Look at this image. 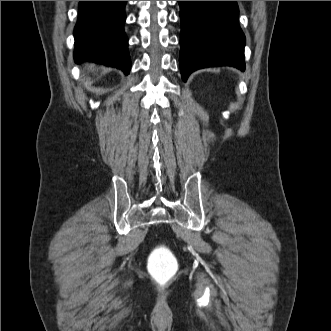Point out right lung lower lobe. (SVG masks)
<instances>
[{
  "instance_id": "obj_1",
  "label": "right lung lower lobe",
  "mask_w": 331,
  "mask_h": 331,
  "mask_svg": "<svg viewBox=\"0 0 331 331\" xmlns=\"http://www.w3.org/2000/svg\"><path fill=\"white\" fill-rule=\"evenodd\" d=\"M126 2L79 1L74 29V59L77 63L88 59L129 74L131 62L123 28Z\"/></svg>"
}]
</instances>
